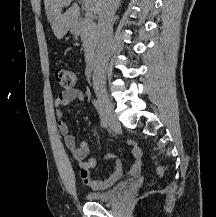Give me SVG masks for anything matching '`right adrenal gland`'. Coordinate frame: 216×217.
Instances as JSON below:
<instances>
[{
  "label": "right adrenal gland",
  "instance_id": "1",
  "mask_svg": "<svg viewBox=\"0 0 216 217\" xmlns=\"http://www.w3.org/2000/svg\"><path fill=\"white\" fill-rule=\"evenodd\" d=\"M120 5H121V0H118V1H117V8H119Z\"/></svg>",
  "mask_w": 216,
  "mask_h": 217
}]
</instances>
